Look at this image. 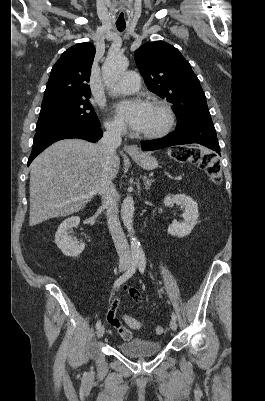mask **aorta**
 I'll return each mask as SVG.
<instances>
[{"label": "aorta", "instance_id": "1", "mask_svg": "<svg viewBox=\"0 0 265 401\" xmlns=\"http://www.w3.org/2000/svg\"><path fill=\"white\" fill-rule=\"evenodd\" d=\"M128 66V60L120 56L117 60H110V58H106L103 66H102V74L106 84H114L119 80L122 72H125ZM134 201L133 196H126L122 203L121 207V217L122 221L130 233V243H131V253L132 255H143L142 247L137 241V237H133L134 229H133V215H134Z\"/></svg>", "mask_w": 265, "mask_h": 401}]
</instances>
